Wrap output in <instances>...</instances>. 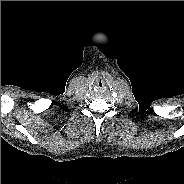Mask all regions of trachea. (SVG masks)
Wrapping results in <instances>:
<instances>
[{
  "label": "trachea",
  "mask_w": 184,
  "mask_h": 184,
  "mask_svg": "<svg viewBox=\"0 0 184 184\" xmlns=\"http://www.w3.org/2000/svg\"><path fill=\"white\" fill-rule=\"evenodd\" d=\"M104 87H105L104 81H102V80H97V81L95 82V89H96V90L101 91V90L104 89Z\"/></svg>",
  "instance_id": "1"
}]
</instances>
